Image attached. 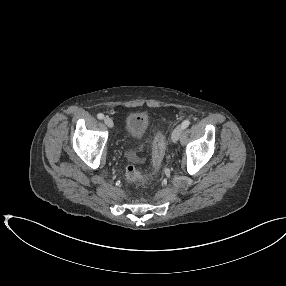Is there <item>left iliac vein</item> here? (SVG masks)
I'll return each instance as SVG.
<instances>
[{
	"label": "left iliac vein",
	"mask_w": 286,
	"mask_h": 286,
	"mask_svg": "<svg viewBox=\"0 0 286 286\" xmlns=\"http://www.w3.org/2000/svg\"><path fill=\"white\" fill-rule=\"evenodd\" d=\"M182 131H183L182 126H177V127L173 130L172 135H171V140H172V142L176 143V142L179 140V138H180V136H181V134H182Z\"/></svg>",
	"instance_id": "left-iliac-vein-1"
}]
</instances>
